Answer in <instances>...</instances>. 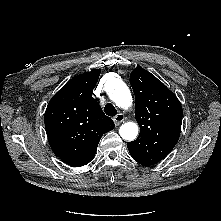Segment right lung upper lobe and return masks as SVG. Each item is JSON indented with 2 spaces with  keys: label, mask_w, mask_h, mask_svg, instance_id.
<instances>
[{
  "label": "right lung upper lobe",
  "mask_w": 221,
  "mask_h": 221,
  "mask_svg": "<svg viewBox=\"0 0 221 221\" xmlns=\"http://www.w3.org/2000/svg\"><path fill=\"white\" fill-rule=\"evenodd\" d=\"M100 70L73 77L50 100L45 129L51 149L72 167L88 164L95 156L102 135L114 128L92 91Z\"/></svg>",
  "instance_id": "obj_1"
}]
</instances>
